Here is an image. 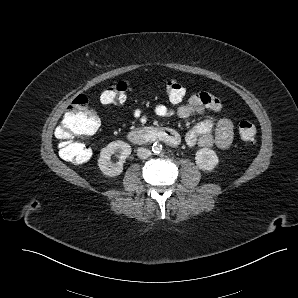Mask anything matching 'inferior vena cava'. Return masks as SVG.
<instances>
[{"label": "inferior vena cava", "mask_w": 298, "mask_h": 298, "mask_svg": "<svg viewBox=\"0 0 298 298\" xmlns=\"http://www.w3.org/2000/svg\"><path fill=\"white\" fill-rule=\"evenodd\" d=\"M151 155V151L148 148L139 147L137 149V156L141 159H145Z\"/></svg>", "instance_id": "1"}]
</instances>
